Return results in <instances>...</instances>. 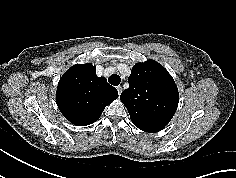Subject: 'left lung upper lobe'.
Segmentation results:
<instances>
[{
  "mask_svg": "<svg viewBox=\"0 0 236 178\" xmlns=\"http://www.w3.org/2000/svg\"><path fill=\"white\" fill-rule=\"evenodd\" d=\"M129 88L120 100L127 107L131 121L145 132L161 131L172 119L179 102L177 86L158 62L137 63L128 78Z\"/></svg>",
  "mask_w": 236,
  "mask_h": 178,
  "instance_id": "5c2ea615",
  "label": "left lung upper lobe"
}]
</instances>
